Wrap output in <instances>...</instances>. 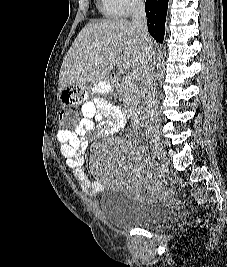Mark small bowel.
Wrapping results in <instances>:
<instances>
[{
  "mask_svg": "<svg viewBox=\"0 0 227 267\" xmlns=\"http://www.w3.org/2000/svg\"><path fill=\"white\" fill-rule=\"evenodd\" d=\"M125 125L126 116L122 108L99 98L81 106L80 117L74 129L58 130L61 153L75 181L88 196H96L100 192L101 183L92 179L83 169V154L89 145L87 134L98 130L100 135L108 137L120 132ZM136 190L143 197L155 194V189L148 182L137 184Z\"/></svg>",
  "mask_w": 227,
  "mask_h": 267,
  "instance_id": "small-bowel-1",
  "label": "small bowel"
}]
</instances>
